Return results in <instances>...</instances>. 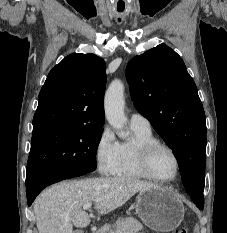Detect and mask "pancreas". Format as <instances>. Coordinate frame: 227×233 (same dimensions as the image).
Instances as JSON below:
<instances>
[{
	"label": "pancreas",
	"instance_id": "cf45deb5",
	"mask_svg": "<svg viewBox=\"0 0 227 233\" xmlns=\"http://www.w3.org/2000/svg\"><path fill=\"white\" fill-rule=\"evenodd\" d=\"M143 229V225L133 217H127L120 222L113 224L112 228L99 233H138Z\"/></svg>",
	"mask_w": 227,
	"mask_h": 233
}]
</instances>
